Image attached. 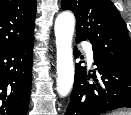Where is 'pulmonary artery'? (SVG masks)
Returning a JSON list of instances; mask_svg holds the SVG:
<instances>
[{"label": "pulmonary artery", "instance_id": "1", "mask_svg": "<svg viewBox=\"0 0 131 115\" xmlns=\"http://www.w3.org/2000/svg\"><path fill=\"white\" fill-rule=\"evenodd\" d=\"M85 52H86L88 61H89L90 63H93V62H94V58H93L92 48H91L90 46H86V47H85Z\"/></svg>", "mask_w": 131, "mask_h": 115}]
</instances>
